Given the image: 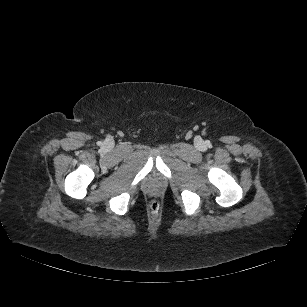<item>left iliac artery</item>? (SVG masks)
Here are the masks:
<instances>
[{
    "mask_svg": "<svg viewBox=\"0 0 307 307\" xmlns=\"http://www.w3.org/2000/svg\"><path fill=\"white\" fill-rule=\"evenodd\" d=\"M207 145H210V142L207 141Z\"/></svg>",
    "mask_w": 307,
    "mask_h": 307,
    "instance_id": "obj_1",
    "label": "left iliac artery"
}]
</instances>
